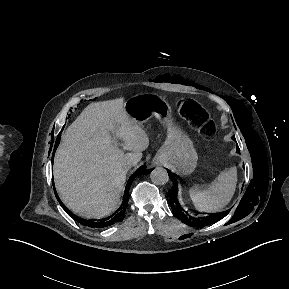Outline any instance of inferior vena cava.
<instances>
[{
    "label": "inferior vena cava",
    "mask_w": 289,
    "mask_h": 289,
    "mask_svg": "<svg viewBox=\"0 0 289 289\" xmlns=\"http://www.w3.org/2000/svg\"><path fill=\"white\" fill-rule=\"evenodd\" d=\"M136 164L135 161H130L127 163V168L129 169L131 166H134Z\"/></svg>",
    "instance_id": "inferior-vena-cava-1"
}]
</instances>
